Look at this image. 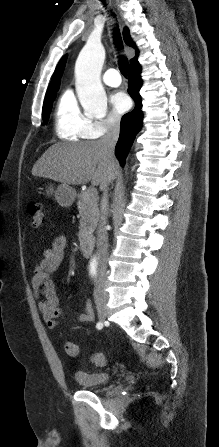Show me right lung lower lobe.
Wrapping results in <instances>:
<instances>
[{"mask_svg":"<svg viewBox=\"0 0 219 447\" xmlns=\"http://www.w3.org/2000/svg\"><path fill=\"white\" fill-rule=\"evenodd\" d=\"M140 70L141 66L138 62L129 66L128 93L135 101L136 106L134 110L125 114L121 119L120 136L116 144L115 153L122 167L124 166L127 152L129 151L135 136L142 127V103L141 96L139 95V90L142 84Z\"/></svg>","mask_w":219,"mask_h":447,"instance_id":"obj_1","label":"right lung lower lobe"}]
</instances>
